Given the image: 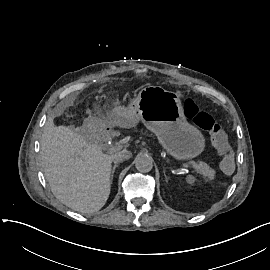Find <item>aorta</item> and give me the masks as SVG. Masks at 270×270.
Wrapping results in <instances>:
<instances>
[{"mask_svg": "<svg viewBox=\"0 0 270 270\" xmlns=\"http://www.w3.org/2000/svg\"><path fill=\"white\" fill-rule=\"evenodd\" d=\"M135 166L139 172H150L153 168V161L147 155H139L135 159Z\"/></svg>", "mask_w": 270, "mask_h": 270, "instance_id": "762f6f07", "label": "aorta"}]
</instances>
